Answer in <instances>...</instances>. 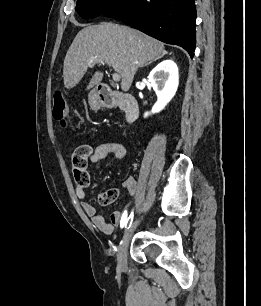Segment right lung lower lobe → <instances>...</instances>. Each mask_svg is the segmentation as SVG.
I'll return each mask as SVG.
<instances>
[{
  "instance_id": "right-lung-lower-lobe-1",
  "label": "right lung lower lobe",
  "mask_w": 261,
  "mask_h": 306,
  "mask_svg": "<svg viewBox=\"0 0 261 306\" xmlns=\"http://www.w3.org/2000/svg\"><path fill=\"white\" fill-rule=\"evenodd\" d=\"M102 15L121 20L165 43L179 45L191 58L194 55V0H125Z\"/></svg>"
}]
</instances>
